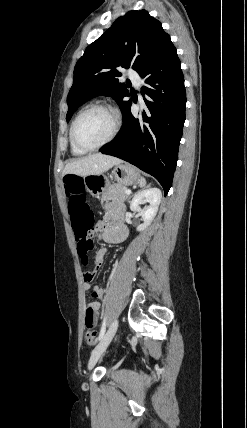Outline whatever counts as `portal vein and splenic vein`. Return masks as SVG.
Instances as JSON below:
<instances>
[{
    "mask_svg": "<svg viewBox=\"0 0 247 428\" xmlns=\"http://www.w3.org/2000/svg\"><path fill=\"white\" fill-rule=\"evenodd\" d=\"M125 194H127V195L131 194V190H129V189L125 190Z\"/></svg>",
    "mask_w": 247,
    "mask_h": 428,
    "instance_id": "18ae733b",
    "label": "portal vein and splenic vein"
}]
</instances>
